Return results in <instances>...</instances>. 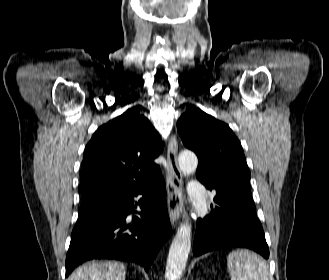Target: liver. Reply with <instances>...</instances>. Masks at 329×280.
I'll return each mask as SVG.
<instances>
[{
  "mask_svg": "<svg viewBox=\"0 0 329 280\" xmlns=\"http://www.w3.org/2000/svg\"><path fill=\"white\" fill-rule=\"evenodd\" d=\"M126 268L115 261L90 262L75 271L68 280H125Z\"/></svg>",
  "mask_w": 329,
  "mask_h": 280,
  "instance_id": "1",
  "label": "liver"
}]
</instances>
